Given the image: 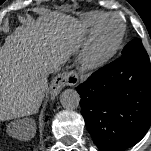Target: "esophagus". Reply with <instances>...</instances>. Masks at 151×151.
Here are the masks:
<instances>
[{"instance_id":"34e87169","label":"esophagus","mask_w":151,"mask_h":151,"mask_svg":"<svg viewBox=\"0 0 151 151\" xmlns=\"http://www.w3.org/2000/svg\"><path fill=\"white\" fill-rule=\"evenodd\" d=\"M79 81V75L75 71H69L56 76L50 84V92L57 96L65 86L75 85Z\"/></svg>"}]
</instances>
